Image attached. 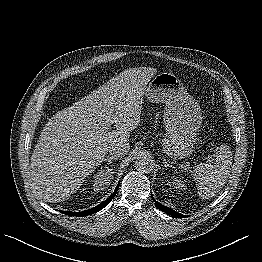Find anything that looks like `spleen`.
Wrapping results in <instances>:
<instances>
[{"instance_id":"3e777b00","label":"spleen","mask_w":262,"mask_h":262,"mask_svg":"<svg viewBox=\"0 0 262 262\" xmlns=\"http://www.w3.org/2000/svg\"><path fill=\"white\" fill-rule=\"evenodd\" d=\"M232 165V152L227 145L216 148L214 158L194 168L193 179L203 198L214 196L225 185Z\"/></svg>"}]
</instances>
